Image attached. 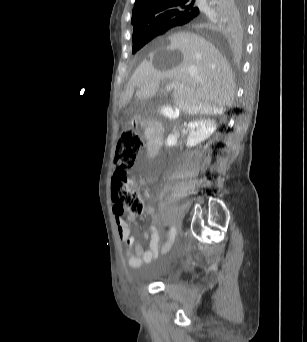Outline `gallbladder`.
Listing matches in <instances>:
<instances>
[{
    "label": "gallbladder",
    "instance_id": "1",
    "mask_svg": "<svg viewBox=\"0 0 307 342\" xmlns=\"http://www.w3.org/2000/svg\"><path fill=\"white\" fill-rule=\"evenodd\" d=\"M136 100L138 101V102H146L147 100H148V97L146 96V95H138L137 97H136ZM160 109L163 107L164 108V112H165V116L167 117V118H170L171 116L173 117V118H178L179 117V108L178 107H173V108H171L170 107V105L168 104V103H165L163 106L160 104L159 106H158Z\"/></svg>",
    "mask_w": 307,
    "mask_h": 342
}]
</instances>
